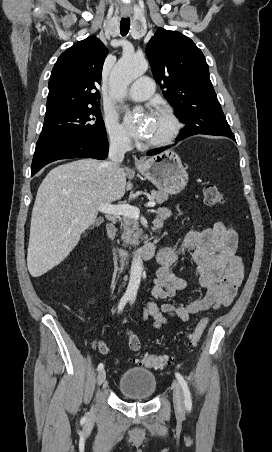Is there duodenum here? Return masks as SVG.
Returning <instances> with one entry per match:
<instances>
[{
    "label": "duodenum",
    "mask_w": 272,
    "mask_h": 452,
    "mask_svg": "<svg viewBox=\"0 0 272 452\" xmlns=\"http://www.w3.org/2000/svg\"><path fill=\"white\" fill-rule=\"evenodd\" d=\"M154 227L156 229H161L163 226V223L159 219H155ZM106 231L108 239L110 240L112 244L113 251L124 258L132 259V258H142V259H151L155 256L157 252L156 244L153 241L146 242L139 246L137 249L133 251L126 250L118 245L115 244V238H116V226L113 221H109L106 224Z\"/></svg>",
    "instance_id": "duodenum-1"
}]
</instances>
